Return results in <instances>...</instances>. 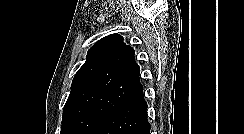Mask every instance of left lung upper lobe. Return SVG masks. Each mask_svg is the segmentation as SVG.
<instances>
[{
  "label": "left lung upper lobe",
  "mask_w": 244,
  "mask_h": 134,
  "mask_svg": "<svg viewBox=\"0 0 244 134\" xmlns=\"http://www.w3.org/2000/svg\"><path fill=\"white\" fill-rule=\"evenodd\" d=\"M73 78L60 134H95L119 107L143 94L134 50L119 34L96 42Z\"/></svg>",
  "instance_id": "obj_1"
}]
</instances>
